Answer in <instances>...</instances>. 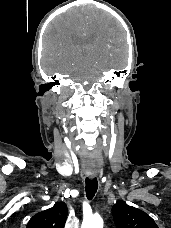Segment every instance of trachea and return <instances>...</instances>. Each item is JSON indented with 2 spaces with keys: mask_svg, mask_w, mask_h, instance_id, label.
Listing matches in <instances>:
<instances>
[{
  "mask_svg": "<svg viewBox=\"0 0 171 228\" xmlns=\"http://www.w3.org/2000/svg\"><path fill=\"white\" fill-rule=\"evenodd\" d=\"M97 189H98L97 178H93V179L86 178L85 190H86V197L88 200H91L95 196Z\"/></svg>",
  "mask_w": 171,
  "mask_h": 228,
  "instance_id": "1",
  "label": "trachea"
}]
</instances>
